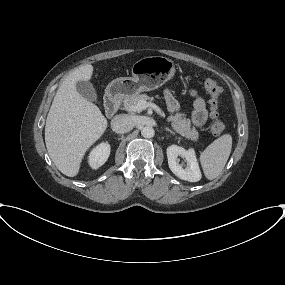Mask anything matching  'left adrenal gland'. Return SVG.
Listing matches in <instances>:
<instances>
[{
    "label": "left adrenal gland",
    "mask_w": 285,
    "mask_h": 285,
    "mask_svg": "<svg viewBox=\"0 0 285 285\" xmlns=\"http://www.w3.org/2000/svg\"><path fill=\"white\" fill-rule=\"evenodd\" d=\"M164 130H166V131L170 132L171 134L175 135V132H173L171 129H169L167 127Z\"/></svg>",
    "instance_id": "a2214340"
}]
</instances>
